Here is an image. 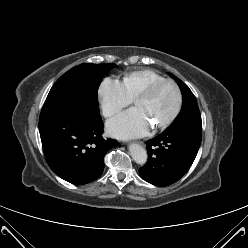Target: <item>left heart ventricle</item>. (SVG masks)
I'll return each mask as SVG.
<instances>
[{"label":"left heart ventricle","instance_id":"obj_1","mask_svg":"<svg viewBox=\"0 0 248 248\" xmlns=\"http://www.w3.org/2000/svg\"><path fill=\"white\" fill-rule=\"evenodd\" d=\"M176 104L175 88L171 84L164 83L159 85L148 99L138 102L136 107L141 108L154 124H158L170 117Z\"/></svg>","mask_w":248,"mask_h":248}]
</instances>
